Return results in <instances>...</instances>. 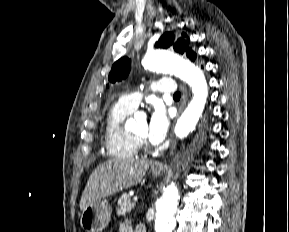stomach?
Segmentation results:
<instances>
[{"instance_id": "0dacf381", "label": "stomach", "mask_w": 289, "mask_h": 232, "mask_svg": "<svg viewBox=\"0 0 289 232\" xmlns=\"http://www.w3.org/2000/svg\"><path fill=\"white\" fill-rule=\"evenodd\" d=\"M163 170L152 169L154 177L162 175ZM111 208L106 200H98L82 210L80 217L81 227L85 232H101L110 221Z\"/></svg>"}]
</instances>
